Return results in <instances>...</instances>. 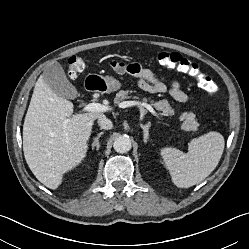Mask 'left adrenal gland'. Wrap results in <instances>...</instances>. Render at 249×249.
Listing matches in <instances>:
<instances>
[{
  "label": "left adrenal gland",
  "instance_id": "left-adrenal-gland-1",
  "mask_svg": "<svg viewBox=\"0 0 249 249\" xmlns=\"http://www.w3.org/2000/svg\"><path fill=\"white\" fill-rule=\"evenodd\" d=\"M140 127L143 129L144 142L147 143V139L149 138L150 122H148L146 125L140 124Z\"/></svg>",
  "mask_w": 249,
  "mask_h": 249
}]
</instances>
